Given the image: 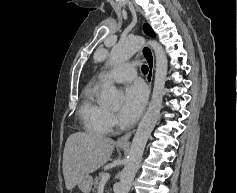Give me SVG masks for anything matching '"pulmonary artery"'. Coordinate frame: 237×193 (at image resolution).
Returning a JSON list of instances; mask_svg holds the SVG:
<instances>
[{"instance_id": "pulmonary-artery-1", "label": "pulmonary artery", "mask_w": 237, "mask_h": 193, "mask_svg": "<svg viewBox=\"0 0 237 193\" xmlns=\"http://www.w3.org/2000/svg\"><path fill=\"white\" fill-rule=\"evenodd\" d=\"M136 75V65L134 63H127L115 68L105 77L117 83H125L134 79Z\"/></svg>"}]
</instances>
